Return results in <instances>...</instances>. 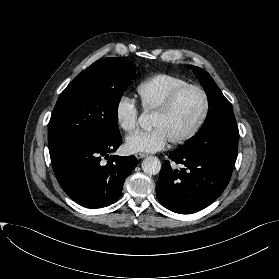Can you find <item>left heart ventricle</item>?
I'll use <instances>...</instances> for the list:
<instances>
[{
	"mask_svg": "<svg viewBox=\"0 0 279 279\" xmlns=\"http://www.w3.org/2000/svg\"><path fill=\"white\" fill-rule=\"evenodd\" d=\"M202 108V95L196 90H186L177 98L168 114H153L152 127L161 128L169 140L179 138L192 128Z\"/></svg>",
	"mask_w": 279,
	"mask_h": 279,
	"instance_id": "obj_1",
	"label": "left heart ventricle"
}]
</instances>
